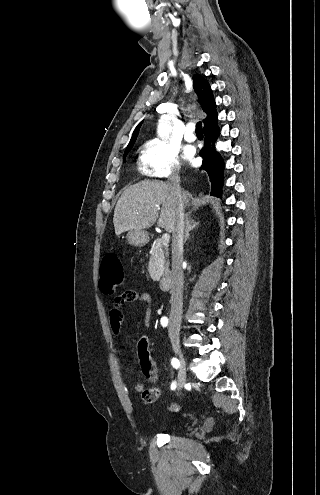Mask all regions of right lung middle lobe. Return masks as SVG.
Masks as SVG:
<instances>
[{
  "label": "right lung middle lobe",
  "instance_id": "dd1d6c3e",
  "mask_svg": "<svg viewBox=\"0 0 320 495\" xmlns=\"http://www.w3.org/2000/svg\"><path fill=\"white\" fill-rule=\"evenodd\" d=\"M129 151H130V149L125 150L124 157H123V158H124V160H125V156L127 155V153H128Z\"/></svg>",
  "mask_w": 320,
  "mask_h": 495
}]
</instances>
